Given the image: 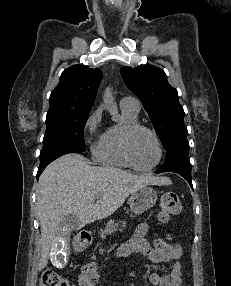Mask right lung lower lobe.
I'll use <instances>...</instances> for the list:
<instances>
[{
    "instance_id": "obj_1",
    "label": "right lung lower lobe",
    "mask_w": 231,
    "mask_h": 286,
    "mask_svg": "<svg viewBox=\"0 0 231 286\" xmlns=\"http://www.w3.org/2000/svg\"><path fill=\"white\" fill-rule=\"evenodd\" d=\"M67 153H81V151H78V150L73 149V148H67V149L55 151V152L41 158L39 169L37 172V179L39 178L40 174L43 172V170L45 169V167L49 163H51L53 160L57 159L58 157H60L64 154H67Z\"/></svg>"
}]
</instances>
